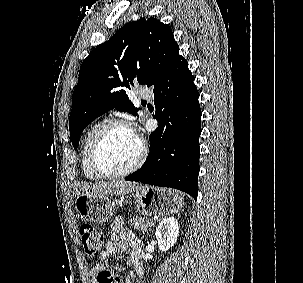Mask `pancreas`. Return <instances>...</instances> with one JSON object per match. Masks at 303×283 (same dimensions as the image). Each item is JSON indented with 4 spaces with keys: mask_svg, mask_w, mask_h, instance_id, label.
<instances>
[{
    "mask_svg": "<svg viewBox=\"0 0 303 283\" xmlns=\"http://www.w3.org/2000/svg\"><path fill=\"white\" fill-rule=\"evenodd\" d=\"M129 222L135 229L146 231L149 223H152V220L148 217L135 216L130 218Z\"/></svg>",
    "mask_w": 303,
    "mask_h": 283,
    "instance_id": "1",
    "label": "pancreas"
}]
</instances>
